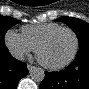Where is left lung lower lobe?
Wrapping results in <instances>:
<instances>
[{
    "label": "left lung lower lobe",
    "mask_w": 89,
    "mask_h": 89,
    "mask_svg": "<svg viewBox=\"0 0 89 89\" xmlns=\"http://www.w3.org/2000/svg\"><path fill=\"white\" fill-rule=\"evenodd\" d=\"M40 89H89V48L79 50L75 60L60 72H45Z\"/></svg>",
    "instance_id": "obj_1"
}]
</instances>
